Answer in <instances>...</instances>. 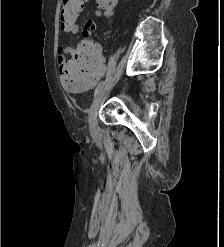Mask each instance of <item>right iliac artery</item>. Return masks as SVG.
<instances>
[{
    "label": "right iliac artery",
    "mask_w": 224,
    "mask_h": 247,
    "mask_svg": "<svg viewBox=\"0 0 224 247\" xmlns=\"http://www.w3.org/2000/svg\"><path fill=\"white\" fill-rule=\"evenodd\" d=\"M103 86H104V82L102 81L96 87L95 92H94V95H97L102 90Z\"/></svg>",
    "instance_id": "right-iliac-artery-1"
}]
</instances>
